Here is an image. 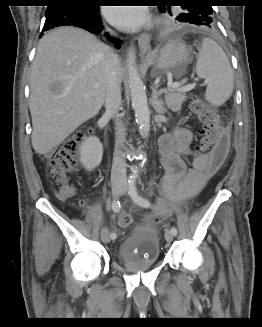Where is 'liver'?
Here are the masks:
<instances>
[{"label":"liver","instance_id":"liver-1","mask_svg":"<svg viewBox=\"0 0 262 327\" xmlns=\"http://www.w3.org/2000/svg\"><path fill=\"white\" fill-rule=\"evenodd\" d=\"M112 54L94 35L74 27H60L43 37L30 78L31 142L37 153L47 155L99 113Z\"/></svg>","mask_w":262,"mask_h":327}]
</instances>
